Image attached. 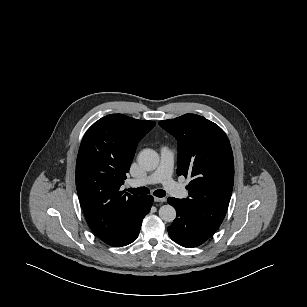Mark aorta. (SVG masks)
<instances>
[{"label":"aorta","mask_w":307,"mask_h":307,"mask_svg":"<svg viewBox=\"0 0 307 307\" xmlns=\"http://www.w3.org/2000/svg\"><path fill=\"white\" fill-rule=\"evenodd\" d=\"M138 164L146 171L155 170L159 164V155L152 149H144L138 155ZM159 216L165 222H172L176 218V210L171 205H163L159 209Z\"/></svg>","instance_id":"obj_1"}]
</instances>
